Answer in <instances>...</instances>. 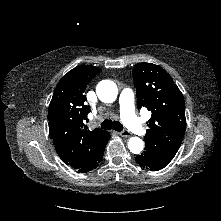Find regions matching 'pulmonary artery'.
<instances>
[{
    "instance_id": "pulmonary-artery-1",
    "label": "pulmonary artery",
    "mask_w": 221,
    "mask_h": 221,
    "mask_svg": "<svg viewBox=\"0 0 221 221\" xmlns=\"http://www.w3.org/2000/svg\"><path fill=\"white\" fill-rule=\"evenodd\" d=\"M120 114L126 126L138 135L144 134V128L134 113V95L130 89H124L119 96Z\"/></svg>"
}]
</instances>
